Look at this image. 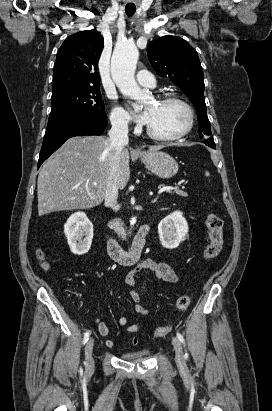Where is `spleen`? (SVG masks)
<instances>
[{"instance_id": "spleen-1", "label": "spleen", "mask_w": 272, "mask_h": 411, "mask_svg": "<svg viewBox=\"0 0 272 411\" xmlns=\"http://www.w3.org/2000/svg\"><path fill=\"white\" fill-rule=\"evenodd\" d=\"M205 175H206V176H209V172L206 171V172H205Z\"/></svg>"}]
</instances>
